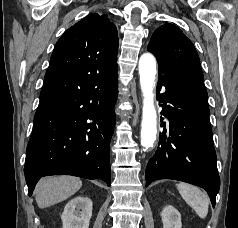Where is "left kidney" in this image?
I'll use <instances>...</instances> for the list:
<instances>
[{"instance_id": "1", "label": "left kidney", "mask_w": 238, "mask_h": 228, "mask_svg": "<svg viewBox=\"0 0 238 228\" xmlns=\"http://www.w3.org/2000/svg\"><path fill=\"white\" fill-rule=\"evenodd\" d=\"M163 228H181V215L172 205L165 206L161 213Z\"/></svg>"}]
</instances>
